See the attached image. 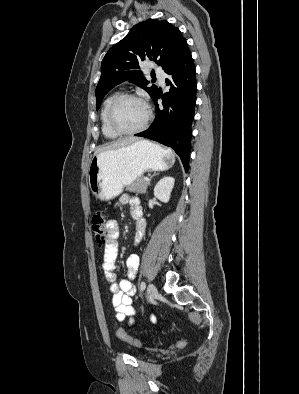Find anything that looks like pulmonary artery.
Wrapping results in <instances>:
<instances>
[{
    "label": "pulmonary artery",
    "instance_id": "e3ab8cb5",
    "mask_svg": "<svg viewBox=\"0 0 299 394\" xmlns=\"http://www.w3.org/2000/svg\"><path fill=\"white\" fill-rule=\"evenodd\" d=\"M156 76H157V78L159 79L160 83H161V84H164L165 77H166L165 72H164L163 70H161V69H158V70L156 71Z\"/></svg>",
    "mask_w": 299,
    "mask_h": 394
}]
</instances>
